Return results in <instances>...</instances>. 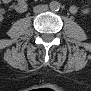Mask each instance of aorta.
<instances>
[{"label": "aorta", "mask_w": 91, "mask_h": 91, "mask_svg": "<svg viewBox=\"0 0 91 91\" xmlns=\"http://www.w3.org/2000/svg\"><path fill=\"white\" fill-rule=\"evenodd\" d=\"M61 7V4L58 1H52L50 2V8L51 10L58 11Z\"/></svg>", "instance_id": "obj_1"}]
</instances>
